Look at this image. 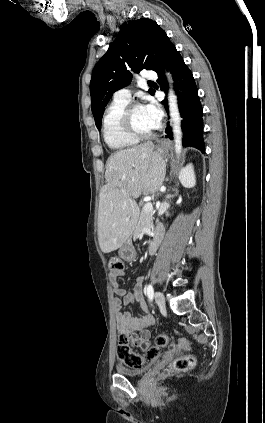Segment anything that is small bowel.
<instances>
[{
  "mask_svg": "<svg viewBox=\"0 0 265 423\" xmlns=\"http://www.w3.org/2000/svg\"><path fill=\"white\" fill-rule=\"evenodd\" d=\"M124 275V269L121 272H111V291L115 295L112 299L117 329L126 333L130 337L131 344L134 347L146 350L149 347L150 327L154 324V318L150 313L143 295V279H138L132 292H127L119 286L117 279ZM137 302L142 310V316L134 317L130 312H123L124 306Z\"/></svg>",
  "mask_w": 265,
  "mask_h": 423,
  "instance_id": "c3829d8e",
  "label": "small bowel"
}]
</instances>
